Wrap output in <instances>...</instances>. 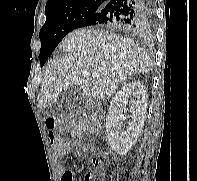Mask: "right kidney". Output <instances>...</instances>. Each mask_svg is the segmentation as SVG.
<instances>
[{
    "label": "right kidney",
    "instance_id": "obj_1",
    "mask_svg": "<svg viewBox=\"0 0 197 181\" xmlns=\"http://www.w3.org/2000/svg\"><path fill=\"white\" fill-rule=\"evenodd\" d=\"M147 90L139 81L125 84L112 99L106 118V135L110 147L119 155H126L142 132L147 114ZM129 101V105H128ZM129 107L131 120L127 130L120 132L122 112Z\"/></svg>",
    "mask_w": 197,
    "mask_h": 181
}]
</instances>
